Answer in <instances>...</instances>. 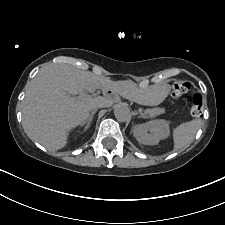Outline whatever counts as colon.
I'll list each match as a JSON object with an SVG mask.
<instances>
[{
    "label": "colon",
    "mask_w": 225,
    "mask_h": 225,
    "mask_svg": "<svg viewBox=\"0 0 225 225\" xmlns=\"http://www.w3.org/2000/svg\"><path fill=\"white\" fill-rule=\"evenodd\" d=\"M190 89V83L186 81H177L172 86L173 97H180ZM203 101L198 93L192 94L186 101V108L191 115L197 116L202 112Z\"/></svg>",
    "instance_id": "5ec220e1"
}]
</instances>
